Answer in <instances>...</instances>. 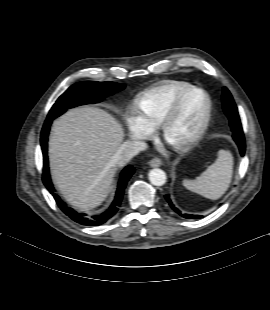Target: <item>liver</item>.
<instances>
[{"label":"liver","mask_w":270,"mask_h":310,"mask_svg":"<svg viewBox=\"0 0 270 310\" xmlns=\"http://www.w3.org/2000/svg\"><path fill=\"white\" fill-rule=\"evenodd\" d=\"M123 137L118 121L97 107L74 108L54 121L49 139L51 175L70 205L88 210L106 199L117 170L111 160Z\"/></svg>","instance_id":"liver-1"}]
</instances>
